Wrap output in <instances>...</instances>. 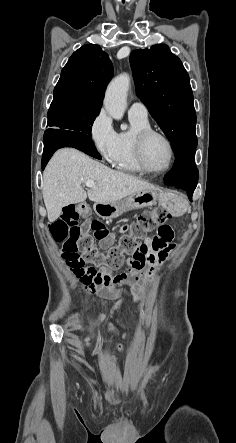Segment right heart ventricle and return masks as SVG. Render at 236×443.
Returning <instances> with one entry per match:
<instances>
[{
  "label": "right heart ventricle",
  "mask_w": 236,
  "mask_h": 443,
  "mask_svg": "<svg viewBox=\"0 0 236 443\" xmlns=\"http://www.w3.org/2000/svg\"><path fill=\"white\" fill-rule=\"evenodd\" d=\"M130 117L131 128L118 134L119 152L114 165L121 171L141 173L135 160L134 139L140 130L150 127L148 118Z\"/></svg>",
  "instance_id": "obj_1"
}]
</instances>
